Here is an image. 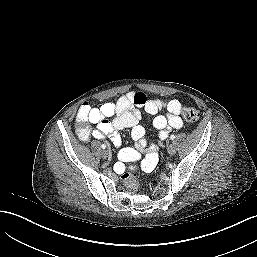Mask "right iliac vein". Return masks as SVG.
<instances>
[{
    "label": "right iliac vein",
    "mask_w": 257,
    "mask_h": 257,
    "mask_svg": "<svg viewBox=\"0 0 257 257\" xmlns=\"http://www.w3.org/2000/svg\"><path fill=\"white\" fill-rule=\"evenodd\" d=\"M102 157H103L104 159H107V158H108V152H107L106 150H104V151L102 152Z\"/></svg>",
    "instance_id": "obj_1"
}]
</instances>
